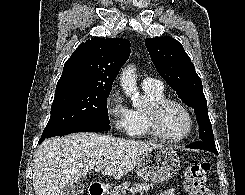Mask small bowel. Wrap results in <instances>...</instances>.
<instances>
[{
	"label": "small bowel",
	"mask_w": 245,
	"mask_h": 195,
	"mask_svg": "<svg viewBox=\"0 0 245 195\" xmlns=\"http://www.w3.org/2000/svg\"><path fill=\"white\" fill-rule=\"evenodd\" d=\"M158 195H173V191L172 190H166L164 192L159 193Z\"/></svg>",
	"instance_id": "obj_1"
}]
</instances>
